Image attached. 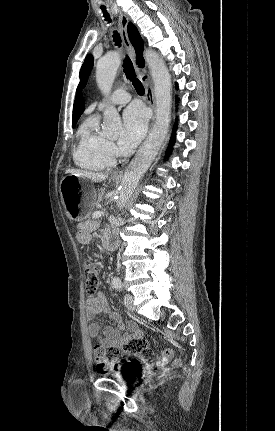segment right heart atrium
I'll return each instance as SVG.
<instances>
[{"mask_svg": "<svg viewBox=\"0 0 275 431\" xmlns=\"http://www.w3.org/2000/svg\"><path fill=\"white\" fill-rule=\"evenodd\" d=\"M108 150L113 156L117 155V153H118V150H117L115 144L112 142H108Z\"/></svg>", "mask_w": 275, "mask_h": 431, "instance_id": "d8ad5b80", "label": "right heart atrium"}]
</instances>
